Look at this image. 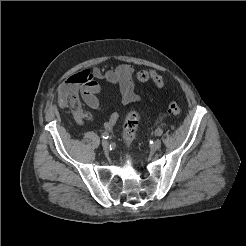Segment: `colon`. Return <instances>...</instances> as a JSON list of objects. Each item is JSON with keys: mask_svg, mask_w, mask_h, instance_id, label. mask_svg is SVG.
I'll return each mask as SVG.
<instances>
[{"mask_svg": "<svg viewBox=\"0 0 246 246\" xmlns=\"http://www.w3.org/2000/svg\"><path fill=\"white\" fill-rule=\"evenodd\" d=\"M136 79L139 82H148L151 81L155 86L162 88L164 86V80L157 72L153 70H140L136 73ZM169 112L178 116L181 113V106L177 101L170 102L168 106ZM139 124V115L135 111H130L124 121L123 125V138L127 144H130L134 139L137 127Z\"/></svg>", "mask_w": 246, "mask_h": 246, "instance_id": "1", "label": "colon"}]
</instances>
